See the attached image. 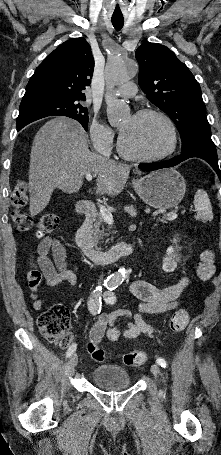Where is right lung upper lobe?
<instances>
[{
	"mask_svg": "<svg viewBox=\"0 0 221 455\" xmlns=\"http://www.w3.org/2000/svg\"><path fill=\"white\" fill-rule=\"evenodd\" d=\"M94 59L85 38L59 45L37 67L26 86L20 106L61 100H85L83 90L90 84Z\"/></svg>",
	"mask_w": 221,
	"mask_h": 455,
	"instance_id": "right-lung-upper-lobe-1",
	"label": "right lung upper lobe"
}]
</instances>
